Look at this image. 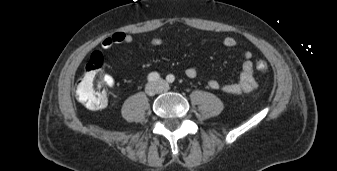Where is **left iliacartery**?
Listing matches in <instances>:
<instances>
[{
    "instance_id": "obj_1",
    "label": "left iliac artery",
    "mask_w": 337,
    "mask_h": 171,
    "mask_svg": "<svg viewBox=\"0 0 337 171\" xmlns=\"http://www.w3.org/2000/svg\"><path fill=\"white\" fill-rule=\"evenodd\" d=\"M166 80H167L169 83H173L174 80H175V77H174V75L169 74V75L166 77Z\"/></svg>"
}]
</instances>
